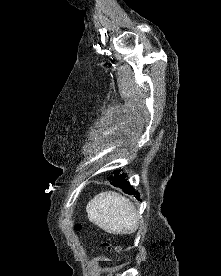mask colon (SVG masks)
<instances>
[{
	"mask_svg": "<svg viewBox=\"0 0 221 276\" xmlns=\"http://www.w3.org/2000/svg\"><path fill=\"white\" fill-rule=\"evenodd\" d=\"M76 229L77 230H80L81 229V226L80 225H77L76 226ZM102 246H104L106 249H108L109 251H115L117 250V248L113 247L111 244H109L108 242H102Z\"/></svg>",
	"mask_w": 221,
	"mask_h": 276,
	"instance_id": "colon-1",
	"label": "colon"
}]
</instances>
